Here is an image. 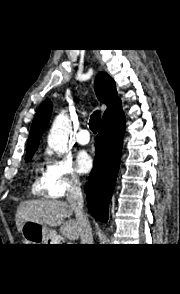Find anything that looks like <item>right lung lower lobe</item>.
I'll return each instance as SVG.
<instances>
[{
  "label": "right lung lower lobe",
  "mask_w": 180,
  "mask_h": 294,
  "mask_svg": "<svg viewBox=\"0 0 180 294\" xmlns=\"http://www.w3.org/2000/svg\"><path fill=\"white\" fill-rule=\"evenodd\" d=\"M125 129L120 103L104 114L96 137L94 168L85 185L88 209L99 221L107 222L108 206L118 174Z\"/></svg>",
  "instance_id": "obj_1"
}]
</instances>
